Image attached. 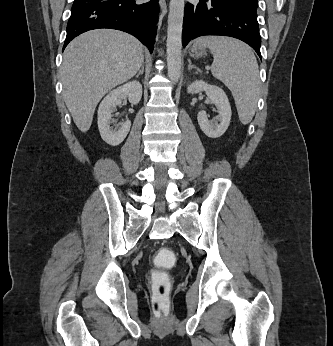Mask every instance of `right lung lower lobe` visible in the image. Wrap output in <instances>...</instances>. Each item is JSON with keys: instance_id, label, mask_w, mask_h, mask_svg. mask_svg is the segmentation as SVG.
I'll list each match as a JSON object with an SVG mask.
<instances>
[{"instance_id": "98d812e1", "label": "right lung lower lobe", "mask_w": 333, "mask_h": 346, "mask_svg": "<svg viewBox=\"0 0 333 346\" xmlns=\"http://www.w3.org/2000/svg\"><path fill=\"white\" fill-rule=\"evenodd\" d=\"M158 12L159 6L155 0H75L67 24L63 50L72 39L83 32L110 28L135 36L152 52Z\"/></svg>"}]
</instances>
